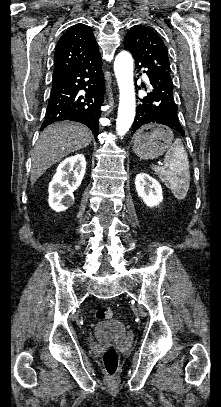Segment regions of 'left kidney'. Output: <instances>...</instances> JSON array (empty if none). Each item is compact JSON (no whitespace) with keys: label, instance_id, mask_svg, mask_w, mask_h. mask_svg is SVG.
<instances>
[{"label":"left kidney","instance_id":"5707ae66","mask_svg":"<svg viewBox=\"0 0 221 407\" xmlns=\"http://www.w3.org/2000/svg\"><path fill=\"white\" fill-rule=\"evenodd\" d=\"M138 196L149 207L159 205L163 200L162 188L159 182L146 173H139L135 178Z\"/></svg>","mask_w":221,"mask_h":407}]
</instances>
